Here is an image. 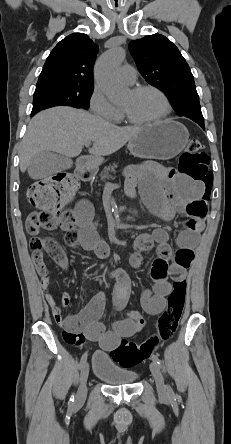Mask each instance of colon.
<instances>
[{"label": "colon", "instance_id": "colon-1", "mask_svg": "<svg viewBox=\"0 0 231 444\" xmlns=\"http://www.w3.org/2000/svg\"><path fill=\"white\" fill-rule=\"evenodd\" d=\"M209 165V156L200 141L190 140L180 157L179 171L193 181L210 186L213 175ZM76 189V180L67 174H57L39 180L30 186L28 199L38 209L29 215L26 222V230L33 237L30 245L34 255L46 253L60 265L66 263V255L59 242L52 236H40V233L43 230L55 229L61 217H70V212H63V209L72 199ZM206 197L205 193L204 199ZM204 199L191 206V212L195 216H202L206 213ZM196 224V220L191 219L188 222V228L195 229ZM41 282L50 283L48 272L41 277ZM186 290L185 279L174 280L172 292L168 298V307L157 321L155 335L141 343L122 341L117 348L110 352L113 360L125 368L136 366L146 361L157 345L169 340L178 327L185 304Z\"/></svg>", "mask_w": 231, "mask_h": 444}]
</instances>
